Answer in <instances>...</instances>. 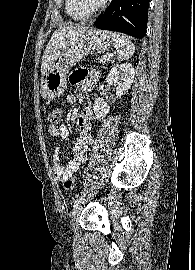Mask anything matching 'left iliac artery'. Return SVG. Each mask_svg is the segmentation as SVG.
I'll return each instance as SVG.
<instances>
[{
    "label": "left iliac artery",
    "mask_w": 195,
    "mask_h": 270,
    "mask_svg": "<svg viewBox=\"0 0 195 270\" xmlns=\"http://www.w3.org/2000/svg\"><path fill=\"white\" fill-rule=\"evenodd\" d=\"M83 197H84V195H81L79 197V199L75 200V202H74V208L80 204V202L82 201Z\"/></svg>",
    "instance_id": "obj_1"
}]
</instances>
